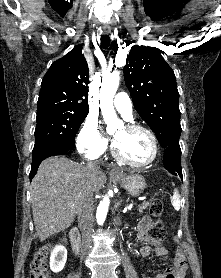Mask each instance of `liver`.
<instances>
[{"mask_svg":"<svg viewBox=\"0 0 221 278\" xmlns=\"http://www.w3.org/2000/svg\"><path fill=\"white\" fill-rule=\"evenodd\" d=\"M107 178L64 156L45 159L31 182V206L41 241L67 229L78 214L84 191L98 193Z\"/></svg>","mask_w":221,"mask_h":278,"instance_id":"obj_1","label":"liver"}]
</instances>
